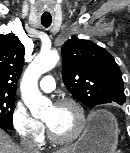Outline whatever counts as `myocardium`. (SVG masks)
<instances>
[{
  "label": "myocardium",
  "mask_w": 130,
  "mask_h": 153,
  "mask_svg": "<svg viewBox=\"0 0 130 153\" xmlns=\"http://www.w3.org/2000/svg\"><path fill=\"white\" fill-rule=\"evenodd\" d=\"M62 105H69L73 107L78 114V119H79L78 126L76 130L74 131V133L67 137H61V136H58L51 129V127L49 126L47 122L44 121V124L47 130L48 136L53 142L57 144H70L75 142L83 134L87 125V117H86V113L83 106L75 99L61 98L54 103V106H62Z\"/></svg>",
  "instance_id": "1"
}]
</instances>
